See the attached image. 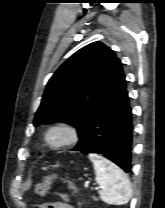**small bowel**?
Segmentation results:
<instances>
[{
	"label": "small bowel",
	"instance_id": "small-bowel-1",
	"mask_svg": "<svg viewBox=\"0 0 165 208\" xmlns=\"http://www.w3.org/2000/svg\"><path fill=\"white\" fill-rule=\"evenodd\" d=\"M41 208H74L68 202H55V203H47Z\"/></svg>",
	"mask_w": 165,
	"mask_h": 208
}]
</instances>
